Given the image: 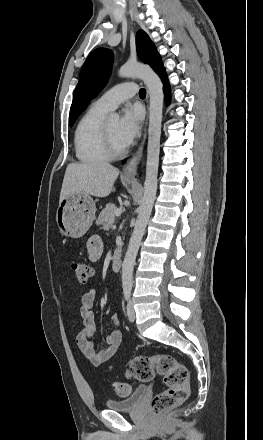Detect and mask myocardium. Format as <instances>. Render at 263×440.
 Wrapping results in <instances>:
<instances>
[{
    "mask_svg": "<svg viewBox=\"0 0 263 440\" xmlns=\"http://www.w3.org/2000/svg\"><path fill=\"white\" fill-rule=\"evenodd\" d=\"M101 137H102L103 148L110 158H118L126 154L127 152L126 147L120 150L114 147L109 133L108 122L106 119H104L102 123Z\"/></svg>",
    "mask_w": 263,
    "mask_h": 440,
    "instance_id": "1",
    "label": "myocardium"
}]
</instances>
